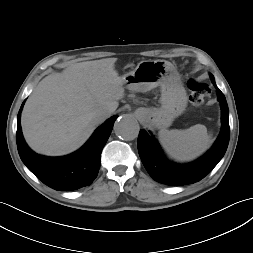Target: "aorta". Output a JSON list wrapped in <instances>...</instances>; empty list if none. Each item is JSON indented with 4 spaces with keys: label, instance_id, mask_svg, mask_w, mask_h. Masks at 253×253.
<instances>
[{
    "label": "aorta",
    "instance_id": "obj_1",
    "mask_svg": "<svg viewBox=\"0 0 253 253\" xmlns=\"http://www.w3.org/2000/svg\"><path fill=\"white\" fill-rule=\"evenodd\" d=\"M140 126L138 121L130 116L119 117L114 124L115 134L124 140H133L139 134Z\"/></svg>",
    "mask_w": 253,
    "mask_h": 253
}]
</instances>
